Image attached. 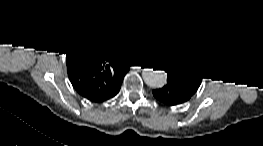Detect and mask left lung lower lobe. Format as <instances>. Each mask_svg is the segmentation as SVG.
<instances>
[{"label": "left lung lower lobe", "mask_w": 263, "mask_h": 146, "mask_svg": "<svg viewBox=\"0 0 263 146\" xmlns=\"http://www.w3.org/2000/svg\"><path fill=\"white\" fill-rule=\"evenodd\" d=\"M153 95L157 100L174 106L188 101L193 96V93L188 92L185 87L175 80L168 78L167 83L163 87L153 90Z\"/></svg>", "instance_id": "obj_1"}]
</instances>
